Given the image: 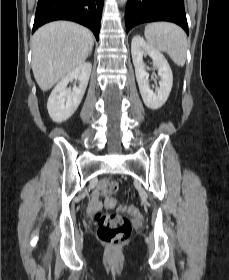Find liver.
I'll list each match as a JSON object with an SVG mask.
<instances>
[{
  "mask_svg": "<svg viewBox=\"0 0 229 280\" xmlns=\"http://www.w3.org/2000/svg\"><path fill=\"white\" fill-rule=\"evenodd\" d=\"M94 45L92 33L69 21L39 28L31 38L32 71L42 91L82 65Z\"/></svg>",
  "mask_w": 229,
  "mask_h": 280,
  "instance_id": "6515ba94",
  "label": "liver"
}]
</instances>
